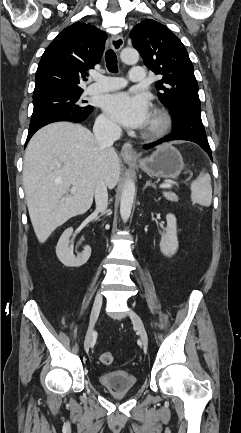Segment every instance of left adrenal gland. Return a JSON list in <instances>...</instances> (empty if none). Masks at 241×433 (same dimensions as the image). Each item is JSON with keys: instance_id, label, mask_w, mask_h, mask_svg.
<instances>
[{"instance_id": "left-adrenal-gland-1", "label": "left adrenal gland", "mask_w": 241, "mask_h": 433, "mask_svg": "<svg viewBox=\"0 0 241 433\" xmlns=\"http://www.w3.org/2000/svg\"><path fill=\"white\" fill-rule=\"evenodd\" d=\"M147 187H153V188H155V185L151 181H147L143 190H145Z\"/></svg>"}]
</instances>
